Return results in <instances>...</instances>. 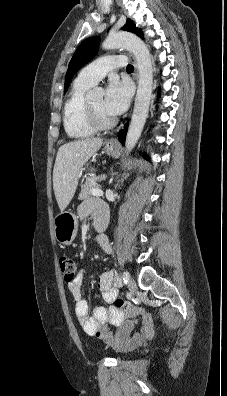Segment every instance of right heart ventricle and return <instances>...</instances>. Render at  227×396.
I'll return each instance as SVG.
<instances>
[{
  "mask_svg": "<svg viewBox=\"0 0 227 396\" xmlns=\"http://www.w3.org/2000/svg\"><path fill=\"white\" fill-rule=\"evenodd\" d=\"M91 86V84L77 78L65 101L63 125L70 138H86L96 132V129L90 124L85 110V95Z\"/></svg>",
  "mask_w": 227,
  "mask_h": 396,
  "instance_id": "obj_1",
  "label": "right heart ventricle"
}]
</instances>
